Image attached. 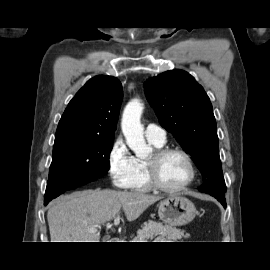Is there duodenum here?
<instances>
[{"label":"duodenum","instance_id":"1","mask_svg":"<svg viewBox=\"0 0 270 270\" xmlns=\"http://www.w3.org/2000/svg\"><path fill=\"white\" fill-rule=\"evenodd\" d=\"M110 240H111V242H117V239H114V238H112Z\"/></svg>","mask_w":270,"mask_h":270}]
</instances>
